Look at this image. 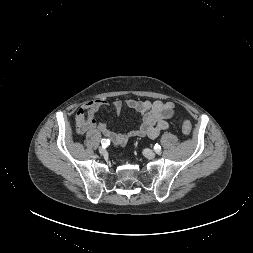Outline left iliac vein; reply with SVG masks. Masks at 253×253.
<instances>
[{
    "label": "left iliac vein",
    "mask_w": 253,
    "mask_h": 253,
    "mask_svg": "<svg viewBox=\"0 0 253 253\" xmlns=\"http://www.w3.org/2000/svg\"><path fill=\"white\" fill-rule=\"evenodd\" d=\"M143 154H144L145 157H147L149 159H153L156 156V153L154 151L150 150V149H145L143 151Z\"/></svg>",
    "instance_id": "1"
}]
</instances>
